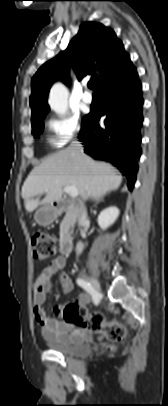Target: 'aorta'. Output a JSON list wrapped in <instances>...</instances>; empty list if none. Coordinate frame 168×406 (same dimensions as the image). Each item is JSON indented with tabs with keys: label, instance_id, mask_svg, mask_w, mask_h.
I'll return each instance as SVG.
<instances>
[{
	"label": "aorta",
	"instance_id": "obj_1",
	"mask_svg": "<svg viewBox=\"0 0 168 406\" xmlns=\"http://www.w3.org/2000/svg\"><path fill=\"white\" fill-rule=\"evenodd\" d=\"M68 91L62 83H55L49 93L48 103L53 111L65 115L68 107Z\"/></svg>",
	"mask_w": 168,
	"mask_h": 406
}]
</instances>
